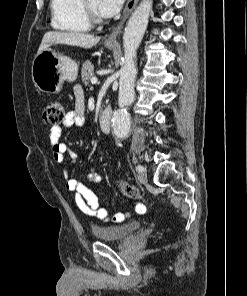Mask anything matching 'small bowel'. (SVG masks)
<instances>
[{
  "instance_id": "1",
  "label": "small bowel",
  "mask_w": 247,
  "mask_h": 296,
  "mask_svg": "<svg viewBox=\"0 0 247 296\" xmlns=\"http://www.w3.org/2000/svg\"><path fill=\"white\" fill-rule=\"evenodd\" d=\"M74 95V109L66 114L61 126H54L50 129L49 139L52 146L53 158L57 163H62L66 155L69 156L71 163H74L78 158V154L70 150L68 146L60 140L63 128H80L86 123L84 117V94L80 86L74 88ZM63 173L67 190L74 193L76 206L84 214L104 222H121L130 216L129 212H121L112 217L109 216L100 195L88 186V184L100 183L101 178L95 169H91L86 173L85 182L71 178L69 176L68 166L64 169ZM135 207L139 211L142 209L141 204H136Z\"/></svg>"
}]
</instances>
